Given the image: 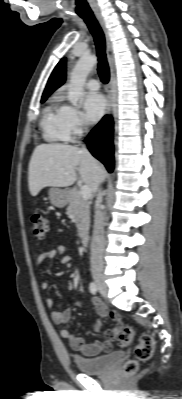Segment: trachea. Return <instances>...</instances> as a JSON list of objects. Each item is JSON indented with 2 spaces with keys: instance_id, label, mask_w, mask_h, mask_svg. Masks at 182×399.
Masks as SVG:
<instances>
[{
  "instance_id": "3493384b",
  "label": "trachea",
  "mask_w": 182,
  "mask_h": 399,
  "mask_svg": "<svg viewBox=\"0 0 182 399\" xmlns=\"http://www.w3.org/2000/svg\"><path fill=\"white\" fill-rule=\"evenodd\" d=\"M82 4H86L85 2H81ZM80 17L85 21L87 24L91 34L94 37L96 49H97V56H98V74L100 76L101 81L106 84L109 81V67L106 60L105 54V38L104 33L97 22L95 16L93 14H83Z\"/></svg>"
}]
</instances>
